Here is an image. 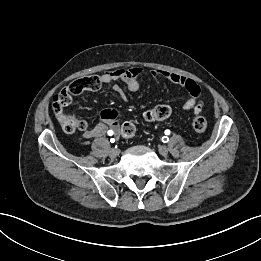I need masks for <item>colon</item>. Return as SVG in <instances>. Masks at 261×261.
<instances>
[{
    "label": "colon",
    "instance_id": "1",
    "mask_svg": "<svg viewBox=\"0 0 261 261\" xmlns=\"http://www.w3.org/2000/svg\"><path fill=\"white\" fill-rule=\"evenodd\" d=\"M91 78L86 77L72 82L69 86L61 90L53 97L52 107L54 113L59 120L62 128L66 132H74L76 130H85L87 123L84 120L78 119L74 114L67 110L74 95L81 93L91 87ZM118 114H113L117 117ZM171 115V109L167 105H158L144 114L146 121H161L167 119ZM192 127L196 132H204L207 128V121L203 117H195L192 121ZM136 125L132 120L124 121L120 126V134L125 139H130L135 136Z\"/></svg>",
    "mask_w": 261,
    "mask_h": 261
}]
</instances>
